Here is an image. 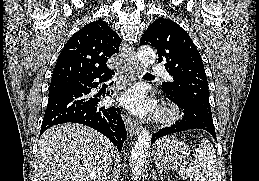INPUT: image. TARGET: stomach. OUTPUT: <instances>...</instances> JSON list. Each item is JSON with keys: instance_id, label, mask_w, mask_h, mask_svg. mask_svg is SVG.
Instances as JSON below:
<instances>
[{"instance_id": "0dacf381", "label": "stomach", "mask_w": 259, "mask_h": 181, "mask_svg": "<svg viewBox=\"0 0 259 181\" xmlns=\"http://www.w3.org/2000/svg\"><path fill=\"white\" fill-rule=\"evenodd\" d=\"M189 154L188 146L174 136L156 142L152 150V161L161 169H174L182 164Z\"/></svg>"}]
</instances>
